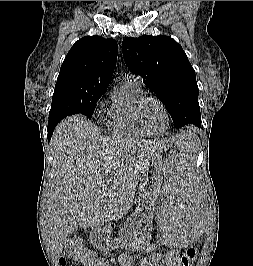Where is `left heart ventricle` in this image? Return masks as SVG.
<instances>
[{
    "instance_id": "b2bd125f",
    "label": "left heart ventricle",
    "mask_w": 253,
    "mask_h": 266,
    "mask_svg": "<svg viewBox=\"0 0 253 266\" xmlns=\"http://www.w3.org/2000/svg\"><path fill=\"white\" fill-rule=\"evenodd\" d=\"M143 125L151 132L161 133L166 127V117L162 108L155 101H147L141 110Z\"/></svg>"
}]
</instances>
